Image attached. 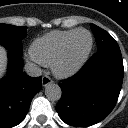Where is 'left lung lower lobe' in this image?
I'll list each match as a JSON object with an SVG mask.
<instances>
[{"mask_svg": "<svg viewBox=\"0 0 128 128\" xmlns=\"http://www.w3.org/2000/svg\"><path fill=\"white\" fill-rule=\"evenodd\" d=\"M123 60L119 46L97 51L73 77L59 86L62 97L56 106L68 125H94L113 110L122 87Z\"/></svg>", "mask_w": 128, "mask_h": 128, "instance_id": "1", "label": "left lung lower lobe"}]
</instances>
